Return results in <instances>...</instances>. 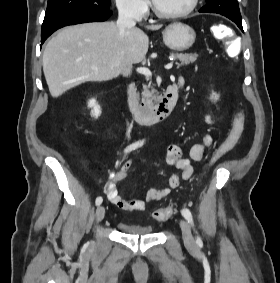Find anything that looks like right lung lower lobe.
Wrapping results in <instances>:
<instances>
[{
	"label": "right lung lower lobe",
	"mask_w": 280,
	"mask_h": 283,
	"mask_svg": "<svg viewBox=\"0 0 280 283\" xmlns=\"http://www.w3.org/2000/svg\"><path fill=\"white\" fill-rule=\"evenodd\" d=\"M111 14L112 11L101 13L66 11L46 16L42 24L41 45L59 28L87 22H102L107 20Z\"/></svg>",
	"instance_id": "obj_1"
}]
</instances>
